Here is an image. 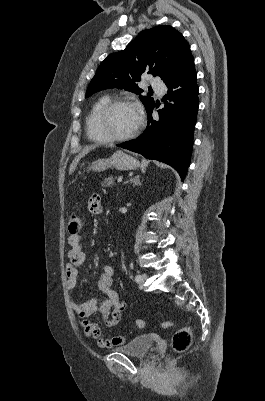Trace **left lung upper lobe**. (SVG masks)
Masks as SVG:
<instances>
[{
  "label": "left lung upper lobe",
  "instance_id": "1",
  "mask_svg": "<svg viewBox=\"0 0 265 401\" xmlns=\"http://www.w3.org/2000/svg\"><path fill=\"white\" fill-rule=\"evenodd\" d=\"M192 56L182 34L169 25H159L142 31L127 47L110 54L98 67L85 97L107 88L143 92L136 82L143 73L170 80ZM146 110L154 105L153 98L139 96Z\"/></svg>",
  "mask_w": 265,
  "mask_h": 401
}]
</instances>
